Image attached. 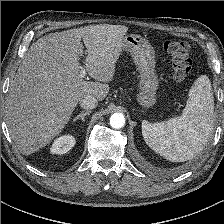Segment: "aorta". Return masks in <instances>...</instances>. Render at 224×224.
<instances>
[{"instance_id": "obj_1", "label": "aorta", "mask_w": 224, "mask_h": 224, "mask_svg": "<svg viewBox=\"0 0 224 224\" xmlns=\"http://www.w3.org/2000/svg\"><path fill=\"white\" fill-rule=\"evenodd\" d=\"M125 124V118L122 113H114L110 117V126L114 129H120Z\"/></svg>"}]
</instances>
